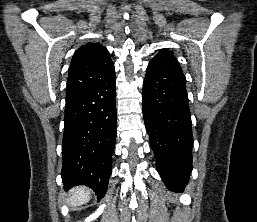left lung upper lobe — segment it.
I'll return each mask as SVG.
<instances>
[{
	"instance_id": "1",
	"label": "left lung upper lobe",
	"mask_w": 257,
	"mask_h": 222,
	"mask_svg": "<svg viewBox=\"0 0 257 222\" xmlns=\"http://www.w3.org/2000/svg\"><path fill=\"white\" fill-rule=\"evenodd\" d=\"M153 59L165 61V62L175 65L181 69V67H180L177 59L174 57L173 53L168 50H165V49L161 50L160 53H158Z\"/></svg>"
}]
</instances>
